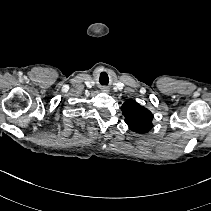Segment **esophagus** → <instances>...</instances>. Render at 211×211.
I'll return each instance as SVG.
<instances>
[{
	"label": "esophagus",
	"instance_id": "obj_1",
	"mask_svg": "<svg viewBox=\"0 0 211 211\" xmlns=\"http://www.w3.org/2000/svg\"><path fill=\"white\" fill-rule=\"evenodd\" d=\"M103 91H104V92H108V89L104 88Z\"/></svg>",
	"mask_w": 211,
	"mask_h": 211
}]
</instances>
